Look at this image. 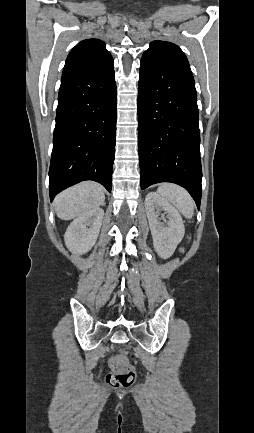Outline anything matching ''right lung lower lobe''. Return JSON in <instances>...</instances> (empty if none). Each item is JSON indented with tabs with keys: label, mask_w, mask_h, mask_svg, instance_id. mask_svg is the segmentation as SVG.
Returning <instances> with one entry per match:
<instances>
[{
	"label": "right lung lower lobe",
	"mask_w": 254,
	"mask_h": 433,
	"mask_svg": "<svg viewBox=\"0 0 254 433\" xmlns=\"http://www.w3.org/2000/svg\"><path fill=\"white\" fill-rule=\"evenodd\" d=\"M113 68L111 60L62 75L49 169L51 201L84 180L111 192L117 114Z\"/></svg>",
	"instance_id": "right-lung-lower-lobe-1"
}]
</instances>
